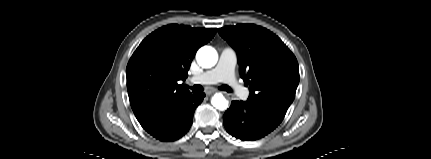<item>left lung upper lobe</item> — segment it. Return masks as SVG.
Masks as SVG:
<instances>
[{
    "label": "left lung upper lobe",
    "instance_id": "1",
    "mask_svg": "<svg viewBox=\"0 0 431 159\" xmlns=\"http://www.w3.org/2000/svg\"><path fill=\"white\" fill-rule=\"evenodd\" d=\"M218 32L237 52L241 78L250 90L247 102L285 115L299 83L294 54L278 36L254 24L225 26Z\"/></svg>",
    "mask_w": 431,
    "mask_h": 159
}]
</instances>
